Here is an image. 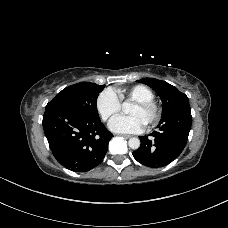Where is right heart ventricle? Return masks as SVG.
<instances>
[{"label": "right heart ventricle", "instance_id": "e07e8e85", "mask_svg": "<svg viewBox=\"0 0 228 228\" xmlns=\"http://www.w3.org/2000/svg\"><path fill=\"white\" fill-rule=\"evenodd\" d=\"M116 92L121 100H128L132 102L153 100L155 97L154 92L144 85H135L126 90H117Z\"/></svg>", "mask_w": 228, "mask_h": 228}]
</instances>
